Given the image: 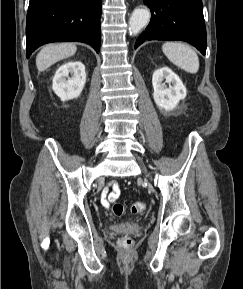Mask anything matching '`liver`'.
<instances>
[{
  "mask_svg": "<svg viewBox=\"0 0 243 289\" xmlns=\"http://www.w3.org/2000/svg\"><path fill=\"white\" fill-rule=\"evenodd\" d=\"M77 47L73 43H58L45 45L36 57L38 71H45L54 63L73 56Z\"/></svg>",
  "mask_w": 243,
  "mask_h": 289,
  "instance_id": "6515ba94",
  "label": "liver"
}]
</instances>
